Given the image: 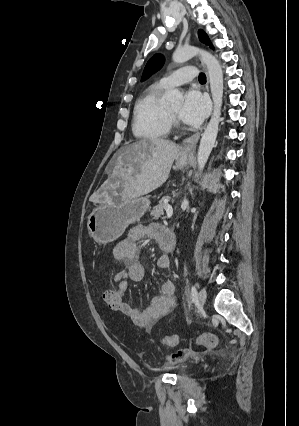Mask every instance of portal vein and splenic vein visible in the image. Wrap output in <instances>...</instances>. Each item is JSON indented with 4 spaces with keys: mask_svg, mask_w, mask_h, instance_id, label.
Here are the masks:
<instances>
[{
    "mask_svg": "<svg viewBox=\"0 0 299 426\" xmlns=\"http://www.w3.org/2000/svg\"><path fill=\"white\" fill-rule=\"evenodd\" d=\"M165 210H166V212H167V216H168V218H170L171 217V215H172V207L169 205V204H166L165 205Z\"/></svg>",
    "mask_w": 299,
    "mask_h": 426,
    "instance_id": "portal-vein-and-splenic-vein-1",
    "label": "portal vein and splenic vein"
}]
</instances>
